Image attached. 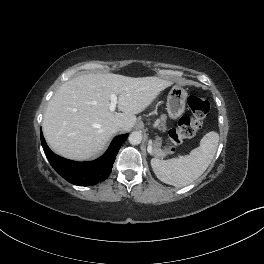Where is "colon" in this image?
Segmentation results:
<instances>
[{"mask_svg":"<svg viewBox=\"0 0 264 264\" xmlns=\"http://www.w3.org/2000/svg\"><path fill=\"white\" fill-rule=\"evenodd\" d=\"M191 111L190 116H182L178 121V127L169 131V143L166 150L172 152L184 139L193 137L200 128L203 119L210 110L208 100L199 96L191 95L187 100Z\"/></svg>","mask_w":264,"mask_h":264,"instance_id":"obj_1","label":"colon"}]
</instances>
